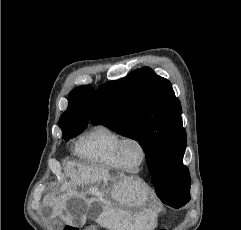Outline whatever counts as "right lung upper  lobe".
I'll return each instance as SVG.
<instances>
[{"label":"right lung upper lobe","mask_w":241,"mask_h":230,"mask_svg":"<svg viewBox=\"0 0 241 230\" xmlns=\"http://www.w3.org/2000/svg\"><path fill=\"white\" fill-rule=\"evenodd\" d=\"M93 94L94 88L90 85L79 86L69 93V106L59 119L61 129L87 126Z\"/></svg>","instance_id":"cb5924a9"}]
</instances>
